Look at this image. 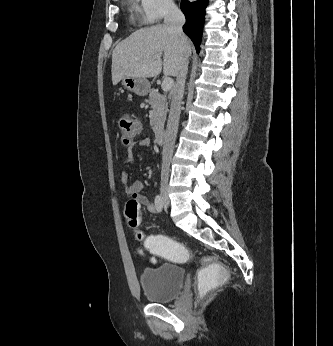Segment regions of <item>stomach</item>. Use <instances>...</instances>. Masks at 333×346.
Here are the masks:
<instances>
[{"mask_svg": "<svg viewBox=\"0 0 333 346\" xmlns=\"http://www.w3.org/2000/svg\"><path fill=\"white\" fill-rule=\"evenodd\" d=\"M122 85L138 96H146L150 91V82L146 78L125 77L122 79Z\"/></svg>", "mask_w": 333, "mask_h": 346, "instance_id": "stomach-1", "label": "stomach"}]
</instances>
